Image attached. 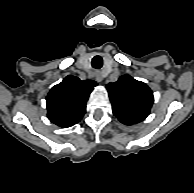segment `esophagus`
I'll return each instance as SVG.
<instances>
[{"label": "esophagus", "instance_id": "esophagus-1", "mask_svg": "<svg viewBox=\"0 0 194 193\" xmlns=\"http://www.w3.org/2000/svg\"><path fill=\"white\" fill-rule=\"evenodd\" d=\"M94 76L97 82H101L103 80V74L100 71L95 72Z\"/></svg>", "mask_w": 194, "mask_h": 193}]
</instances>
